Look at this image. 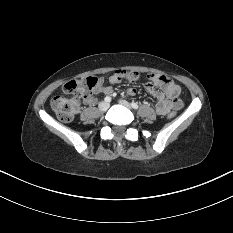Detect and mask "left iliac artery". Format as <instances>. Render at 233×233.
<instances>
[{"label":"left iliac artery","instance_id":"44dca946","mask_svg":"<svg viewBox=\"0 0 233 233\" xmlns=\"http://www.w3.org/2000/svg\"><path fill=\"white\" fill-rule=\"evenodd\" d=\"M131 106H132L134 109H138V108H139L138 104H137V103H134V102L131 103Z\"/></svg>","mask_w":233,"mask_h":233}]
</instances>
